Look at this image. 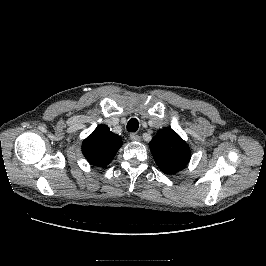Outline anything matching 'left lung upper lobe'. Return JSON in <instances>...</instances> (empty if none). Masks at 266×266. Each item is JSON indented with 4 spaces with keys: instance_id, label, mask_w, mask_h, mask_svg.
Returning <instances> with one entry per match:
<instances>
[{
    "instance_id": "left-lung-upper-lobe-1",
    "label": "left lung upper lobe",
    "mask_w": 266,
    "mask_h": 266,
    "mask_svg": "<svg viewBox=\"0 0 266 266\" xmlns=\"http://www.w3.org/2000/svg\"><path fill=\"white\" fill-rule=\"evenodd\" d=\"M149 147L157 166L166 174L183 170L191 158L189 146L171 128L159 130Z\"/></svg>"
}]
</instances>
